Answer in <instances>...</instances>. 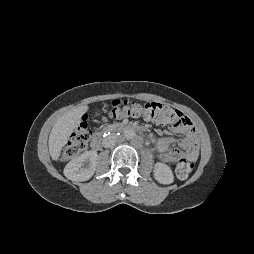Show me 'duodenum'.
Returning <instances> with one entry per match:
<instances>
[{
  "mask_svg": "<svg viewBox=\"0 0 254 254\" xmlns=\"http://www.w3.org/2000/svg\"><path fill=\"white\" fill-rule=\"evenodd\" d=\"M116 130L119 131H135L137 130V126L135 125H116L113 127ZM91 146L94 150H99L102 147V139H101V134H97L94 139L92 140Z\"/></svg>",
  "mask_w": 254,
  "mask_h": 254,
  "instance_id": "1",
  "label": "duodenum"
}]
</instances>
